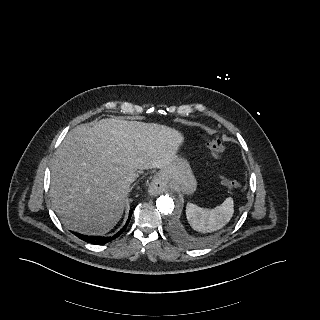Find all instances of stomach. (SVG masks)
Instances as JSON below:
<instances>
[{"mask_svg":"<svg viewBox=\"0 0 320 320\" xmlns=\"http://www.w3.org/2000/svg\"><path fill=\"white\" fill-rule=\"evenodd\" d=\"M165 185L176 188L185 194H192L197 181L187 160L176 156L170 165L158 173Z\"/></svg>","mask_w":320,"mask_h":320,"instance_id":"0dacf381","label":"stomach"}]
</instances>
